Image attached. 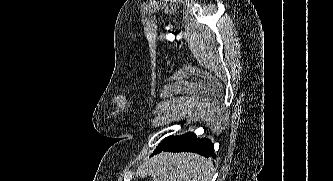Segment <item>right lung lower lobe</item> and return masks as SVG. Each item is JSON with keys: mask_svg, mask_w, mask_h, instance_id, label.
Returning a JSON list of instances; mask_svg holds the SVG:
<instances>
[{"mask_svg": "<svg viewBox=\"0 0 333 181\" xmlns=\"http://www.w3.org/2000/svg\"><path fill=\"white\" fill-rule=\"evenodd\" d=\"M162 150L170 152H195L207 158L216 157L213 143L206 138L201 140L197 139L194 133H188L170 145L158 146L155 153H159Z\"/></svg>", "mask_w": 333, "mask_h": 181, "instance_id": "obj_1", "label": "right lung lower lobe"}]
</instances>
